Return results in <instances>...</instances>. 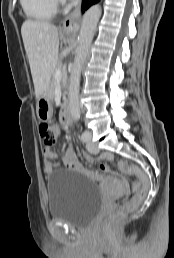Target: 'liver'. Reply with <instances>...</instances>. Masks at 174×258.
<instances>
[{
    "label": "liver",
    "mask_w": 174,
    "mask_h": 258,
    "mask_svg": "<svg viewBox=\"0 0 174 258\" xmlns=\"http://www.w3.org/2000/svg\"><path fill=\"white\" fill-rule=\"evenodd\" d=\"M21 34L38 100L49 89L51 76L57 65L58 28L47 22L26 20L22 24Z\"/></svg>",
    "instance_id": "obj_1"
}]
</instances>
